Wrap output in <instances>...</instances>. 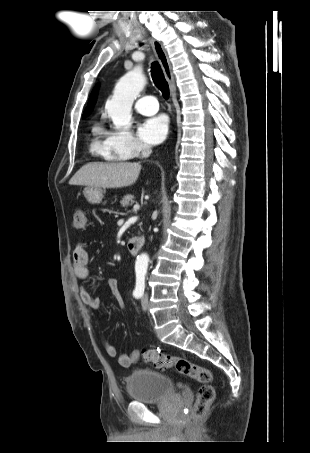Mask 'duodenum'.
Masks as SVG:
<instances>
[{"instance_id": "410a0bca", "label": "duodenum", "mask_w": 310, "mask_h": 453, "mask_svg": "<svg viewBox=\"0 0 310 453\" xmlns=\"http://www.w3.org/2000/svg\"><path fill=\"white\" fill-rule=\"evenodd\" d=\"M144 243H145V240L143 237H133V238L129 239V241L127 243L128 251L132 255H137L139 253V251L142 249V247L144 246Z\"/></svg>"}]
</instances>
